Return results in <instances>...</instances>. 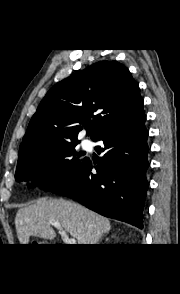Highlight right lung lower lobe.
<instances>
[{"label":"right lung lower lobe","instance_id":"right-lung-lower-lobe-1","mask_svg":"<svg viewBox=\"0 0 180 294\" xmlns=\"http://www.w3.org/2000/svg\"><path fill=\"white\" fill-rule=\"evenodd\" d=\"M145 120L142 99L95 136L93 141H103L96 147L98 154L104 153L99 163L88 159L69 181L51 191L142 229L149 166Z\"/></svg>","mask_w":180,"mask_h":294}]
</instances>
